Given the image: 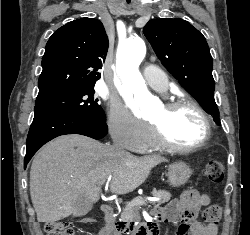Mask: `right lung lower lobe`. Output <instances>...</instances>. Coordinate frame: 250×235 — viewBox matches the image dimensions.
Returning <instances> with one entry per match:
<instances>
[{"label": "right lung lower lobe", "instance_id": "98d812e1", "mask_svg": "<svg viewBox=\"0 0 250 235\" xmlns=\"http://www.w3.org/2000/svg\"><path fill=\"white\" fill-rule=\"evenodd\" d=\"M107 131L105 120L72 112L38 110L35 112L27 137L24 168L36 151L55 137L65 134H81L101 139L106 136Z\"/></svg>", "mask_w": 250, "mask_h": 235}]
</instances>
